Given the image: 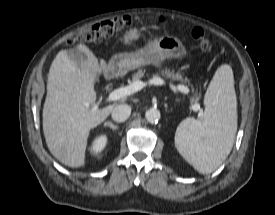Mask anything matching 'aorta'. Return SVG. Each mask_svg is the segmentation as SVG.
Instances as JSON below:
<instances>
[{"mask_svg":"<svg viewBox=\"0 0 275 215\" xmlns=\"http://www.w3.org/2000/svg\"><path fill=\"white\" fill-rule=\"evenodd\" d=\"M145 118L151 124L157 123L160 119V111L156 108H150L146 111Z\"/></svg>","mask_w":275,"mask_h":215,"instance_id":"762f6f07","label":"aorta"}]
</instances>
